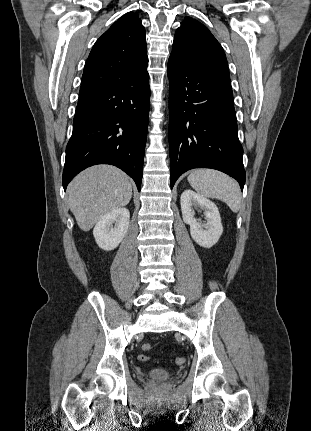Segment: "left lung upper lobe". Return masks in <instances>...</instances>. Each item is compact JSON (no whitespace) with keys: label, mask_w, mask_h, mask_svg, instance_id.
Listing matches in <instances>:
<instances>
[{"label":"left lung upper lobe","mask_w":311,"mask_h":431,"mask_svg":"<svg viewBox=\"0 0 311 431\" xmlns=\"http://www.w3.org/2000/svg\"><path fill=\"white\" fill-rule=\"evenodd\" d=\"M170 56L195 69L230 77L220 43L203 24L191 17H186L176 30Z\"/></svg>","instance_id":"5c2ea615"}]
</instances>
